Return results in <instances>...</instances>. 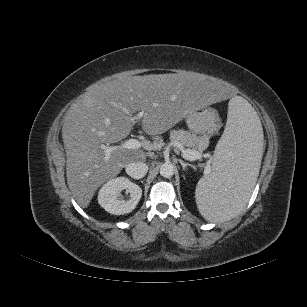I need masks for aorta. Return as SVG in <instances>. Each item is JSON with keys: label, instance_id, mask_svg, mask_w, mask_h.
<instances>
[{"label": "aorta", "instance_id": "obj_1", "mask_svg": "<svg viewBox=\"0 0 307 307\" xmlns=\"http://www.w3.org/2000/svg\"><path fill=\"white\" fill-rule=\"evenodd\" d=\"M174 174V167L170 163H164L160 167V175L164 178H170Z\"/></svg>", "mask_w": 307, "mask_h": 307}]
</instances>
